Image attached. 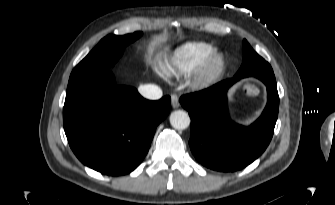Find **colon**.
Segmentation results:
<instances>
[{
	"label": "colon",
	"instance_id": "obj_1",
	"mask_svg": "<svg viewBox=\"0 0 335 205\" xmlns=\"http://www.w3.org/2000/svg\"><path fill=\"white\" fill-rule=\"evenodd\" d=\"M245 90L251 96H256L259 92L257 87L252 84L246 85Z\"/></svg>",
	"mask_w": 335,
	"mask_h": 205
}]
</instances>
